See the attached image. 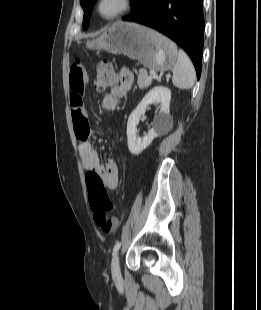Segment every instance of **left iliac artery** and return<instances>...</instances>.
Here are the masks:
<instances>
[{"instance_id": "1", "label": "left iliac artery", "mask_w": 261, "mask_h": 310, "mask_svg": "<svg viewBox=\"0 0 261 310\" xmlns=\"http://www.w3.org/2000/svg\"><path fill=\"white\" fill-rule=\"evenodd\" d=\"M120 246H121V243H120V242H117V243L115 244V246H114V248H113V254H115V253L119 250Z\"/></svg>"}]
</instances>
